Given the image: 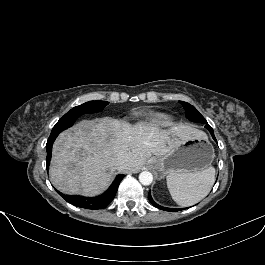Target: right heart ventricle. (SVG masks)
I'll list each match as a JSON object with an SVG mask.
<instances>
[{"label": "right heart ventricle", "instance_id": "e07e8e85", "mask_svg": "<svg viewBox=\"0 0 265 265\" xmlns=\"http://www.w3.org/2000/svg\"><path fill=\"white\" fill-rule=\"evenodd\" d=\"M174 118L169 113L152 112L145 118V123L150 126L166 127L172 124Z\"/></svg>", "mask_w": 265, "mask_h": 265}]
</instances>
